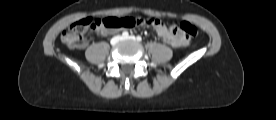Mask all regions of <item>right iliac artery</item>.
<instances>
[{
	"label": "right iliac artery",
	"instance_id": "right-iliac-artery-1",
	"mask_svg": "<svg viewBox=\"0 0 276 120\" xmlns=\"http://www.w3.org/2000/svg\"><path fill=\"white\" fill-rule=\"evenodd\" d=\"M129 36V33L127 31H124L122 33V37L127 38Z\"/></svg>",
	"mask_w": 276,
	"mask_h": 120
}]
</instances>
